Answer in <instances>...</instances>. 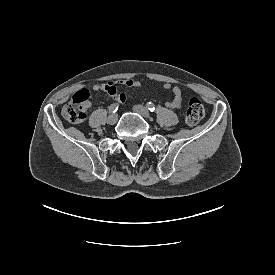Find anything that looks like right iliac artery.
Returning a JSON list of instances; mask_svg holds the SVG:
<instances>
[{
    "label": "right iliac artery",
    "instance_id": "1",
    "mask_svg": "<svg viewBox=\"0 0 275 275\" xmlns=\"http://www.w3.org/2000/svg\"><path fill=\"white\" fill-rule=\"evenodd\" d=\"M119 104L118 103H114L111 106H109V111L111 113H115L118 110Z\"/></svg>",
    "mask_w": 275,
    "mask_h": 275
}]
</instances>
